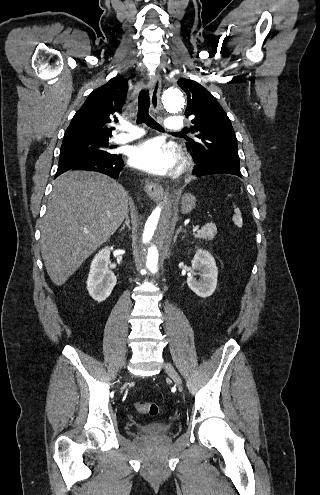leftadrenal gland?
I'll list each match as a JSON object with an SVG mask.
<instances>
[{"label":"left adrenal gland","mask_w":320,"mask_h":495,"mask_svg":"<svg viewBox=\"0 0 320 495\" xmlns=\"http://www.w3.org/2000/svg\"><path fill=\"white\" fill-rule=\"evenodd\" d=\"M179 233H185V230L182 229V226H180L176 232L175 239H177Z\"/></svg>","instance_id":"obj_1"}]
</instances>
